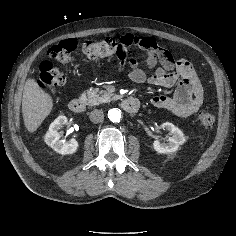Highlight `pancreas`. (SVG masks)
Wrapping results in <instances>:
<instances>
[{
    "label": "pancreas",
    "instance_id": "cf45deb5",
    "mask_svg": "<svg viewBox=\"0 0 236 236\" xmlns=\"http://www.w3.org/2000/svg\"><path fill=\"white\" fill-rule=\"evenodd\" d=\"M80 98L85 101L89 106L99 105L114 100L116 95L109 93L105 90L99 91L97 88L90 89L81 94Z\"/></svg>",
    "mask_w": 236,
    "mask_h": 236
}]
</instances>
